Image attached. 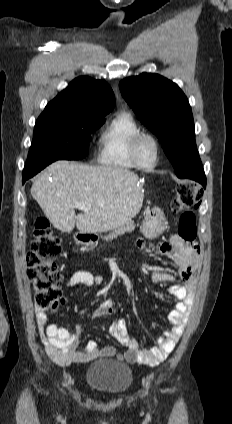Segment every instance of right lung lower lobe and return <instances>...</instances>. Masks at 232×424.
I'll return each mask as SVG.
<instances>
[{"label":"right lung lower lobe","instance_id":"obj_1","mask_svg":"<svg viewBox=\"0 0 232 424\" xmlns=\"http://www.w3.org/2000/svg\"><path fill=\"white\" fill-rule=\"evenodd\" d=\"M49 164L50 163L43 164V165L35 168L34 170L30 171V172H23V180H22V182L24 183L27 179L31 178L32 176H34L35 174H37L38 172H40L42 169H44Z\"/></svg>","mask_w":232,"mask_h":424}]
</instances>
